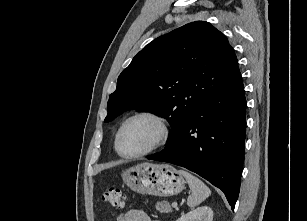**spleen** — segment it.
Here are the masks:
<instances>
[{
    "label": "spleen",
    "instance_id": "3e777b00",
    "mask_svg": "<svg viewBox=\"0 0 307 221\" xmlns=\"http://www.w3.org/2000/svg\"><path fill=\"white\" fill-rule=\"evenodd\" d=\"M179 172L183 177H185L191 190V194L187 199V205L190 208L198 206L209 197L211 194L210 189L199 178L185 170H180Z\"/></svg>",
    "mask_w": 307,
    "mask_h": 221
}]
</instances>
